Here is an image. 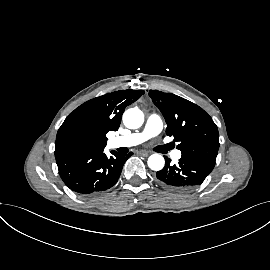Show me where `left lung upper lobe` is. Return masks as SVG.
<instances>
[{
	"label": "left lung upper lobe",
	"instance_id": "1",
	"mask_svg": "<svg viewBox=\"0 0 270 270\" xmlns=\"http://www.w3.org/2000/svg\"><path fill=\"white\" fill-rule=\"evenodd\" d=\"M149 96L165 118L166 134L179 142L177 148L182 157L214 168L219 133L212 118L196 104L172 93L150 90Z\"/></svg>",
	"mask_w": 270,
	"mask_h": 270
}]
</instances>
